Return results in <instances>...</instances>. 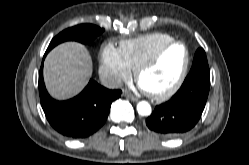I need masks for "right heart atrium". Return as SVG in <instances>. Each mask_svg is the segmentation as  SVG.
<instances>
[{"instance_id":"1","label":"right heart atrium","mask_w":249,"mask_h":165,"mask_svg":"<svg viewBox=\"0 0 249 165\" xmlns=\"http://www.w3.org/2000/svg\"><path fill=\"white\" fill-rule=\"evenodd\" d=\"M99 73L111 87H116L131 77V69L123 59L120 50L110 44L106 45L101 52Z\"/></svg>"}]
</instances>
